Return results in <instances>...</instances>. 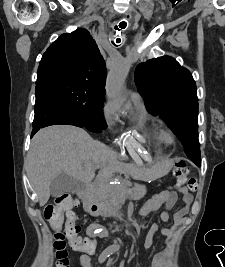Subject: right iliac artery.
Masks as SVG:
<instances>
[{
  "mask_svg": "<svg viewBox=\"0 0 225 267\" xmlns=\"http://www.w3.org/2000/svg\"><path fill=\"white\" fill-rule=\"evenodd\" d=\"M99 229L95 231V233H98ZM113 253L112 248H106L101 255L99 256V262L102 263L104 262L111 254Z\"/></svg>",
  "mask_w": 225,
  "mask_h": 267,
  "instance_id": "82829eb1",
  "label": "right iliac artery"
}]
</instances>
